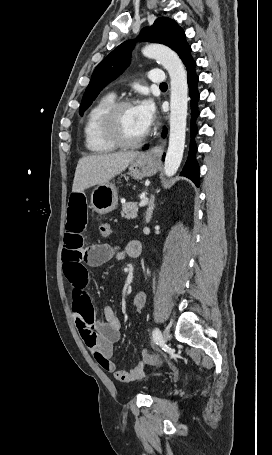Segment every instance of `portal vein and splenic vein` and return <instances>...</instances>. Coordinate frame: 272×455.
I'll return each instance as SVG.
<instances>
[{
  "label": "portal vein and splenic vein",
  "instance_id": "1",
  "mask_svg": "<svg viewBox=\"0 0 272 455\" xmlns=\"http://www.w3.org/2000/svg\"><path fill=\"white\" fill-rule=\"evenodd\" d=\"M147 202H148V198L144 197V198L141 200L139 206H140V207H143V206H145V205L147 204Z\"/></svg>",
  "mask_w": 272,
  "mask_h": 455
}]
</instances>
